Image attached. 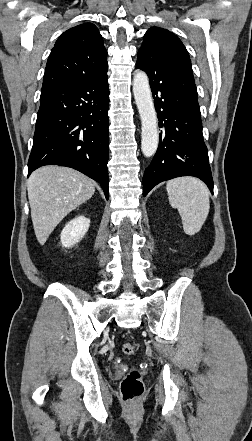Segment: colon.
<instances>
[{"label":"colon","instance_id":"1","mask_svg":"<svg viewBox=\"0 0 252 441\" xmlns=\"http://www.w3.org/2000/svg\"><path fill=\"white\" fill-rule=\"evenodd\" d=\"M122 352L131 356L135 353V346L132 343H125L122 346ZM120 389L123 400L128 403H133L141 398L144 392L141 373L136 368H132L122 379Z\"/></svg>","mask_w":252,"mask_h":441}]
</instances>
